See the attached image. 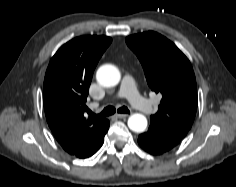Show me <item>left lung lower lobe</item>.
I'll use <instances>...</instances> for the list:
<instances>
[{
  "mask_svg": "<svg viewBox=\"0 0 236 187\" xmlns=\"http://www.w3.org/2000/svg\"><path fill=\"white\" fill-rule=\"evenodd\" d=\"M181 138L150 126L148 131L139 135L138 143L147 152L159 155L175 147Z\"/></svg>",
  "mask_w": 236,
  "mask_h": 187,
  "instance_id": "obj_1",
  "label": "left lung lower lobe"
}]
</instances>
